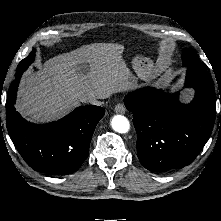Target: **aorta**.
<instances>
[{"instance_id":"762f6f07","label":"aorta","mask_w":221,"mask_h":221,"mask_svg":"<svg viewBox=\"0 0 221 221\" xmlns=\"http://www.w3.org/2000/svg\"><path fill=\"white\" fill-rule=\"evenodd\" d=\"M112 128L118 133H127L130 129L128 119L123 115H115L111 120Z\"/></svg>"}]
</instances>
